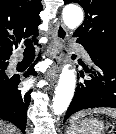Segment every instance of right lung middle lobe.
I'll return each mask as SVG.
<instances>
[{"instance_id":"dd1d6c3e","label":"right lung middle lobe","mask_w":116,"mask_h":134,"mask_svg":"<svg viewBox=\"0 0 116 134\" xmlns=\"http://www.w3.org/2000/svg\"><path fill=\"white\" fill-rule=\"evenodd\" d=\"M8 66V62H0V88H3L11 83L13 78H8L5 70Z\"/></svg>"}]
</instances>
